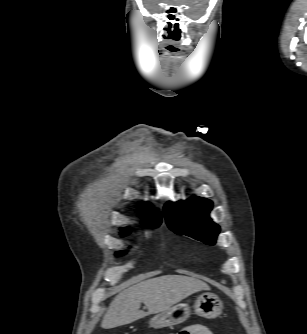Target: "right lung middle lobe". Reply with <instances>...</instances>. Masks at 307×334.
<instances>
[{
	"label": "right lung middle lobe",
	"instance_id": "dd1d6c3e",
	"mask_svg": "<svg viewBox=\"0 0 307 334\" xmlns=\"http://www.w3.org/2000/svg\"><path fill=\"white\" fill-rule=\"evenodd\" d=\"M121 254H123V252L116 253L117 256H120Z\"/></svg>",
	"mask_w": 307,
	"mask_h": 334
}]
</instances>
